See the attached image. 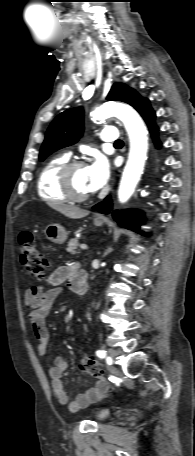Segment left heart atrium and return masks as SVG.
<instances>
[{
  "label": "left heart atrium",
  "instance_id": "obj_1",
  "mask_svg": "<svg viewBox=\"0 0 195 456\" xmlns=\"http://www.w3.org/2000/svg\"><path fill=\"white\" fill-rule=\"evenodd\" d=\"M110 167L108 161L98 156L87 166L88 188L90 192L100 189L109 179Z\"/></svg>",
  "mask_w": 195,
  "mask_h": 456
}]
</instances>
